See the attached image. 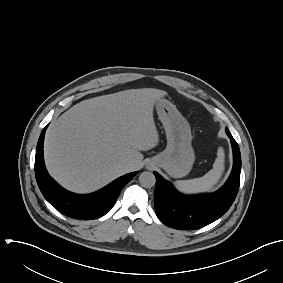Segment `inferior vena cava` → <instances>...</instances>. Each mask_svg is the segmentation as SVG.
Returning a JSON list of instances; mask_svg holds the SVG:
<instances>
[{
    "instance_id": "obj_1",
    "label": "inferior vena cava",
    "mask_w": 283,
    "mask_h": 283,
    "mask_svg": "<svg viewBox=\"0 0 283 283\" xmlns=\"http://www.w3.org/2000/svg\"><path fill=\"white\" fill-rule=\"evenodd\" d=\"M130 166H131V163L130 162H124L121 167L126 171L128 172L130 170Z\"/></svg>"
}]
</instances>
